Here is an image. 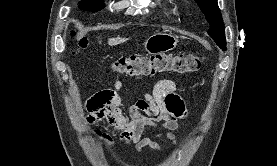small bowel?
<instances>
[{
	"label": "small bowel",
	"instance_id": "1",
	"mask_svg": "<svg viewBox=\"0 0 277 166\" xmlns=\"http://www.w3.org/2000/svg\"><path fill=\"white\" fill-rule=\"evenodd\" d=\"M123 88L121 81L112 83V88L103 89L89 98L86 103L88 117L86 121L106 120L109 125L120 131V137L126 144H134L139 153L150 149L160 152L158 139L169 140L177 144L174 130L179 119L185 117L183 100L175 93L176 85L170 79L157 82L151 93H145L129 109V115L121 111L118 92ZM146 127H158L165 130L154 137H142ZM103 139L111 145V138L103 134Z\"/></svg>",
	"mask_w": 277,
	"mask_h": 166
}]
</instances>
